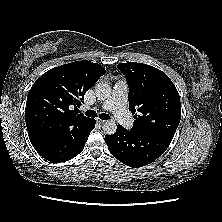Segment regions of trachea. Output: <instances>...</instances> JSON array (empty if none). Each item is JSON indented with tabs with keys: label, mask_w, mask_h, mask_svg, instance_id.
Segmentation results:
<instances>
[{
	"label": "trachea",
	"mask_w": 222,
	"mask_h": 222,
	"mask_svg": "<svg viewBox=\"0 0 222 222\" xmlns=\"http://www.w3.org/2000/svg\"><path fill=\"white\" fill-rule=\"evenodd\" d=\"M85 115L88 117H97V113L94 110H88L85 112ZM99 118L102 120H109L110 116L108 114L102 113L99 115Z\"/></svg>",
	"instance_id": "3493384b"
}]
</instances>
